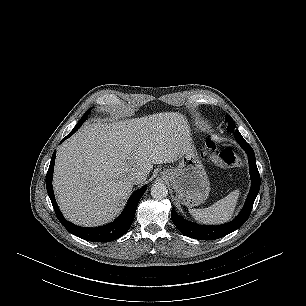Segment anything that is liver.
Listing matches in <instances>:
<instances>
[{
	"label": "liver",
	"instance_id": "1",
	"mask_svg": "<svg viewBox=\"0 0 306 306\" xmlns=\"http://www.w3.org/2000/svg\"><path fill=\"white\" fill-rule=\"evenodd\" d=\"M190 145L187 120L177 112L84 125L57 151L53 186L64 216L81 226L110 222L132 192L131 172L146 177Z\"/></svg>",
	"mask_w": 306,
	"mask_h": 306
}]
</instances>
